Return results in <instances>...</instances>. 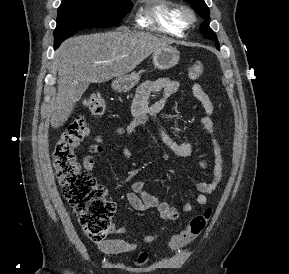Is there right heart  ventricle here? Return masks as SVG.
<instances>
[{"instance_id": "right-heart-ventricle-1", "label": "right heart ventricle", "mask_w": 289, "mask_h": 274, "mask_svg": "<svg viewBox=\"0 0 289 274\" xmlns=\"http://www.w3.org/2000/svg\"><path fill=\"white\" fill-rule=\"evenodd\" d=\"M178 5L168 0H146L141 6L136 23L138 26L180 36L186 27L178 19Z\"/></svg>"}]
</instances>
